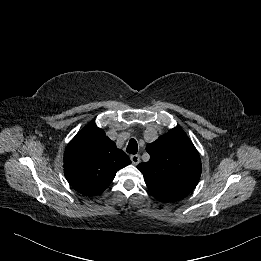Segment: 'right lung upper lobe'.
Returning <instances> with one entry per match:
<instances>
[{
  "label": "right lung upper lobe",
  "instance_id": "right-lung-upper-lobe-1",
  "mask_svg": "<svg viewBox=\"0 0 261 261\" xmlns=\"http://www.w3.org/2000/svg\"><path fill=\"white\" fill-rule=\"evenodd\" d=\"M131 163L129 157L96 124L80 130L64 153V173L78 192L94 196L102 193L116 172Z\"/></svg>",
  "mask_w": 261,
  "mask_h": 261
}]
</instances>
